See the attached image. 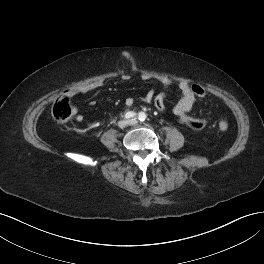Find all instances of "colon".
Here are the masks:
<instances>
[{"mask_svg":"<svg viewBox=\"0 0 264 264\" xmlns=\"http://www.w3.org/2000/svg\"><path fill=\"white\" fill-rule=\"evenodd\" d=\"M191 91L197 97H205L206 90L199 84H193ZM53 118L58 122H67L73 116V110L69 98L66 95H61L54 103L52 108ZM181 118L184 122L194 130H202L206 127L207 122L203 119L190 117L186 114H182ZM218 127L222 131H226L229 127L226 121H220Z\"/></svg>","mask_w":264,"mask_h":264,"instance_id":"5ec220e1","label":"colon"}]
</instances>
